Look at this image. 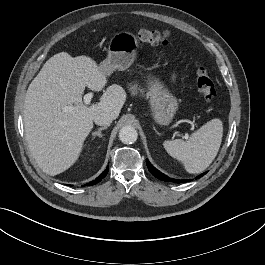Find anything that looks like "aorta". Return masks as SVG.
<instances>
[{
    "instance_id": "obj_1",
    "label": "aorta",
    "mask_w": 265,
    "mask_h": 265,
    "mask_svg": "<svg viewBox=\"0 0 265 265\" xmlns=\"http://www.w3.org/2000/svg\"><path fill=\"white\" fill-rule=\"evenodd\" d=\"M138 133L136 129L130 125L124 126L119 131V138L124 144H132L136 142Z\"/></svg>"
}]
</instances>
